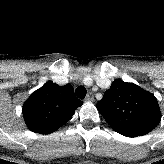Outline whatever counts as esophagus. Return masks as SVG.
Segmentation results:
<instances>
[{
	"instance_id": "1",
	"label": "esophagus",
	"mask_w": 164,
	"mask_h": 164,
	"mask_svg": "<svg viewBox=\"0 0 164 164\" xmlns=\"http://www.w3.org/2000/svg\"><path fill=\"white\" fill-rule=\"evenodd\" d=\"M94 100V96H93V93H88L86 98H85V101L87 102H92Z\"/></svg>"
}]
</instances>
